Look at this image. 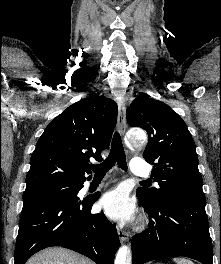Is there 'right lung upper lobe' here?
<instances>
[{
	"label": "right lung upper lobe",
	"mask_w": 221,
	"mask_h": 264,
	"mask_svg": "<svg viewBox=\"0 0 221 264\" xmlns=\"http://www.w3.org/2000/svg\"><path fill=\"white\" fill-rule=\"evenodd\" d=\"M117 104L91 96L57 116L39 138L31 156L26 189L54 182L84 183L89 158L102 160L116 125Z\"/></svg>",
	"instance_id": "cb5924a9"
}]
</instances>
